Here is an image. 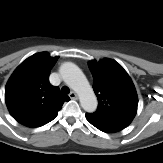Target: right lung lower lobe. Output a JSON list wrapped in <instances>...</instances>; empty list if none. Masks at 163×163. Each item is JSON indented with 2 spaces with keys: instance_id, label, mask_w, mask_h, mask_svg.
Returning a JSON list of instances; mask_svg holds the SVG:
<instances>
[{
  "instance_id": "98d812e1",
  "label": "right lung lower lobe",
  "mask_w": 163,
  "mask_h": 163,
  "mask_svg": "<svg viewBox=\"0 0 163 163\" xmlns=\"http://www.w3.org/2000/svg\"><path fill=\"white\" fill-rule=\"evenodd\" d=\"M54 119V118H53ZM52 119V120H53ZM51 121V120H50ZM50 121H47V122H42V123H29V124H25V126L27 127H40V126H43L45 125L46 123L50 122Z\"/></svg>"
}]
</instances>
